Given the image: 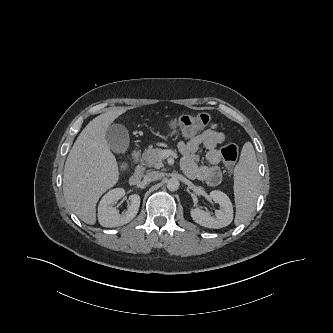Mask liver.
I'll list each match as a JSON object with an SVG mask.
<instances>
[{
  "instance_id": "liver-1",
  "label": "liver",
  "mask_w": 333,
  "mask_h": 333,
  "mask_svg": "<svg viewBox=\"0 0 333 333\" xmlns=\"http://www.w3.org/2000/svg\"><path fill=\"white\" fill-rule=\"evenodd\" d=\"M126 111V107H116L91 120L79 134L65 162V201L79 219L90 225L96 223L99 198L119 180L118 164L105 133Z\"/></svg>"
}]
</instances>
